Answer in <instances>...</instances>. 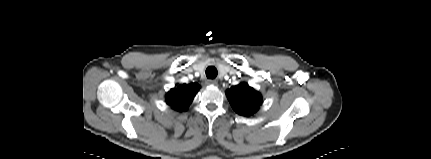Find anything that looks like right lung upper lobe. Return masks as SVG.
Listing matches in <instances>:
<instances>
[{
  "mask_svg": "<svg viewBox=\"0 0 431 159\" xmlns=\"http://www.w3.org/2000/svg\"><path fill=\"white\" fill-rule=\"evenodd\" d=\"M197 83L183 84L167 93L166 101L177 111H186L199 89Z\"/></svg>",
  "mask_w": 431,
  "mask_h": 159,
  "instance_id": "obj_1",
  "label": "right lung upper lobe"
}]
</instances>
